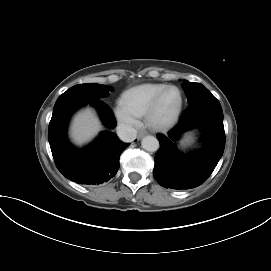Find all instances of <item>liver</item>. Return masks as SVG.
Masks as SVG:
<instances>
[{"instance_id":"obj_1","label":"liver","mask_w":271,"mask_h":271,"mask_svg":"<svg viewBox=\"0 0 271 271\" xmlns=\"http://www.w3.org/2000/svg\"><path fill=\"white\" fill-rule=\"evenodd\" d=\"M101 130V124L94 110L86 108L80 111L73 120L71 136L78 144L90 141Z\"/></svg>"}]
</instances>
